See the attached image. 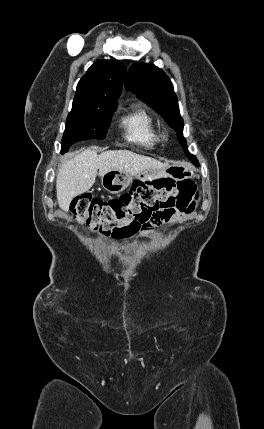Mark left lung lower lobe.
I'll return each mask as SVG.
<instances>
[{"label": "left lung lower lobe", "instance_id": "obj_1", "mask_svg": "<svg viewBox=\"0 0 264 429\" xmlns=\"http://www.w3.org/2000/svg\"><path fill=\"white\" fill-rule=\"evenodd\" d=\"M190 160H192L194 163L197 161L194 156L189 157Z\"/></svg>", "mask_w": 264, "mask_h": 429}]
</instances>
